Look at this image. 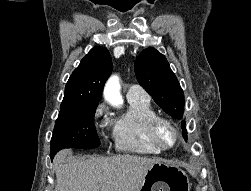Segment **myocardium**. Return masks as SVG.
Wrapping results in <instances>:
<instances>
[{
  "mask_svg": "<svg viewBox=\"0 0 251 191\" xmlns=\"http://www.w3.org/2000/svg\"><path fill=\"white\" fill-rule=\"evenodd\" d=\"M160 123H166L170 125L178 135V141L176 145L171 149H164L159 145L157 139V127ZM146 133L149 143L158 152V154H166L176 150L184 142L185 139V136L180 127L171 118L160 114H155L149 119L146 127Z\"/></svg>",
  "mask_w": 251,
  "mask_h": 191,
  "instance_id": "obj_1",
  "label": "myocardium"
}]
</instances>
